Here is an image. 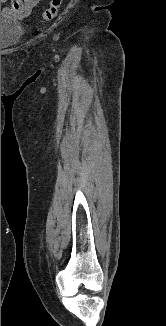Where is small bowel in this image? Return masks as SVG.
<instances>
[{
	"mask_svg": "<svg viewBox=\"0 0 166 326\" xmlns=\"http://www.w3.org/2000/svg\"><path fill=\"white\" fill-rule=\"evenodd\" d=\"M10 2V6L4 11L16 19H23L37 9L39 0H1V3Z\"/></svg>",
	"mask_w": 166,
	"mask_h": 326,
	"instance_id": "obj_1",
	"label": "small bowel"
}]
</instances>
